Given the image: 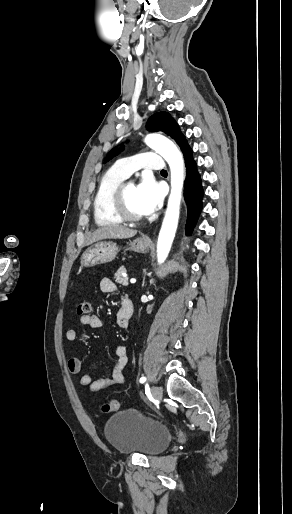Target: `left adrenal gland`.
<instances>
[{"mask_svg":"<svg viewBox=\"0 0 292 514\" xmlns=\"http://www.w3.org/2000/svg\"><path fill=\"white\" fill-rule=\"evenodd\" d=\"M144 280H145V278H144ZM144 280H143V284H142V286H144V284H145Z\"/></svg>","mask_w":292,"mask_h":514,"instance_id":"a2214340","label":"left adrenal gland"}]
</instances>
